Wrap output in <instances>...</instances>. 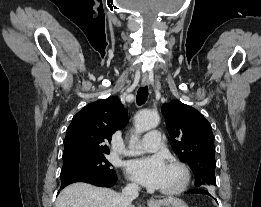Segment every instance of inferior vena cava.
Returning a JSON list of instances; mask_svg holds the SVG:
<instances>
[{
	"label": "inferior vena cava",
	"instance_id": "obj_1",
	"mask_svg": "<svg viewBox=\"0 0 261 207\" xmlns=\"http://www.w3.org/2000/svg\"><path fill=\"white\" fill-rule=\"evenodd\" d=\"M139 186L136 183L128 184L119 194V207H132V201L139 195Z\"/></svg>",
	"mask_w": 261,
	"mask_h": 207
}]
</instances>
